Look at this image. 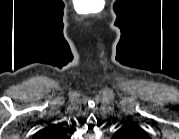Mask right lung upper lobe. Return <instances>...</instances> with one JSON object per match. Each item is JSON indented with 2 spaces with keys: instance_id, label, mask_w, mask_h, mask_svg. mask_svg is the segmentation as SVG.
<instances>
[{
  "instance_id": "cb5924a9",
  "label": "right lung upper lobe",
  "mask_w": 179,
  "mask_h": 139,
  "mask_svg": "<svg viewBox=\"0 0 179 139\" xmlns=\"http://www.w3.org/2000/svg\"><path fill=\"white\" fill-rule=\"evenodd\" d=\"M50 136L53 137H64L66 138V134L63 130V128L59 125H51L49 127H46L39 132H37L36 137L37 138H42V137H47L49 138Z\"/></svg>"
}]
</instances>
